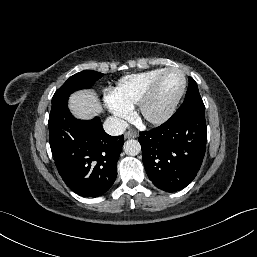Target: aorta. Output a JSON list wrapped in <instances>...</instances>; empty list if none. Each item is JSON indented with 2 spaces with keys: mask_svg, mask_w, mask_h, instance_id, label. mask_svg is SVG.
Wrapping results in <instances>:
<instances>
[{
  "mask_svg": "<svg viewBox=\"0 0 257 257\" xmlns=\"http://www.w3.org/2000/svg\"><path fill=\"white\" fill-rule=\"evenodd\" d=\"M123 149L127 155L135 156L141 152V145L137 140L130 139L124 143Z\"/></svg>",
  "mask_w": 257,
  "mask_h": 257,
  "instance_id": "obj_1",
  "label": "aorta"
}]
</instances>
